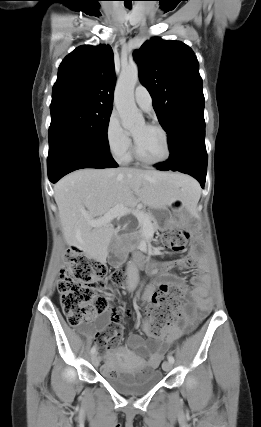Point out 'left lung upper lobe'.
I'll list each match as a JSON object with an SVG mask.
<instances>
[{"mask_svg": "<svg viewBox=\"0 0 261 427\" xmlns=\"http://www.w3.org/2000/svg\"><path fill=\"white\" fill-rule=\"evenodd\" d=\"M141 83L152 96L158 120L167 134L185 118L204 117L203 82L189 46L152 38L134 52Z\"/></svg>", "mask_w": 261, "mask_h": 427, "instance_id": "1", "label": "left lung upper lobe"}]
</instances>
